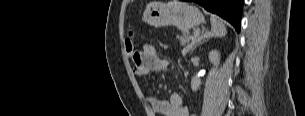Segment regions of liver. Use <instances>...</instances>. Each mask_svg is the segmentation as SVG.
Returning a JSON list of instances; mask_svg holds the SVG:
<instances>
[{
  "label": "liver",
  "mask_w": 305,
  "mask_h": 116,
  "mask_svg": "<svg viewBox=\"0 0 305 116\" xmlns=\"http://www.w3.org/2000/svg\"><path fill=\"white\" fill-rule=\"evenodd\" d=\"M152 3H154V2H152ZM152 3H149V4L147 5V7L150 6ZM147 7H146V8H147Z\"/></svg>",
  "instance_id": "1"
}]
</instances>
